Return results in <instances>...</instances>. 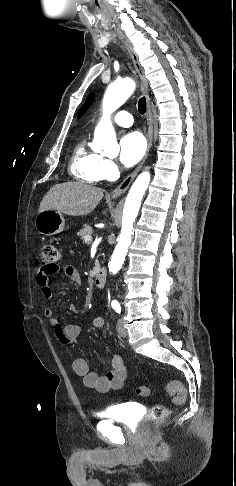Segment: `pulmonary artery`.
Masks as SVG:
<instances>
[{
    "instance_id": "e3ab8cb5",
    "label": "pulmonary artery",
    "mask_w": 236,
    "mask_h": 486,
    "mask_svg": "<svg viewBox=\"0 0 236 486\" xmlns=\"http://www.w3.org/2000/svg\"><path fill=\"white\" fill-rule=\"evenodd\" d=\"M114 122L122 127H130L133 124V117L127 111H119L113 117Z\"/></svg>"
}]
</instances>
